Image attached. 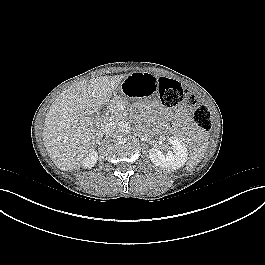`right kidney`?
Masks as SVG:
<instances>
[{"label": "right kidney", "instance_id": "obj_1", "mask_svg": "<svg viewBox=\"0 0 265 265\" xmlns=\"http://www.w3.org/2000/svg\"><path fill=\"white\" fill-rule=\"evenodd\" d=\"M98 159V154L96 151L92 150L89 154L83 159L82 166L84 168H92Z\"/></svg>", "mask_w": 265, "mask_h": 265}]
</instances>
